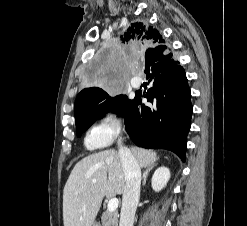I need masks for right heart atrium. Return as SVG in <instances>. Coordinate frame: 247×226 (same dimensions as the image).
Returning a JSON list of instances; mask_svg holds the SVG:
<instances>
[{
	"label": "right heart atrium",
	"mask_w": 247,
	"mask_h": 226,
	"mask_svg": "<svg viewBox=\"0 0 247 226\" xmlns=\"http://www.w3.org/2000/svg\"><path fill=\"white\" fill-rule=\"evenodd\" d=\"M124 131V122L116 109L104 110L86 135L90 148L100 149L110 146Z\"/></svg>",
	"instance_id": "obj_1"
}]
</instances>
